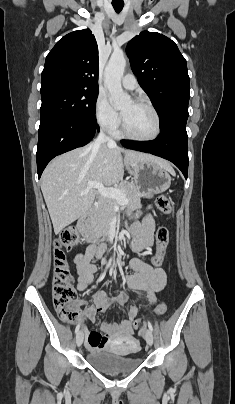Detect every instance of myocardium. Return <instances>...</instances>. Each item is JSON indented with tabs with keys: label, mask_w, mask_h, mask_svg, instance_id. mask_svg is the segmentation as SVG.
<instances>
[{
	"label": "myocardium",
	"mask_w": 235,
	"mask_h": 404,
	"mask_svg": "<svg viewBox=\"0 0 235 404\" xmlns=\"http://www.w3.org/2000/svg\"><path fill=\"white\" fill-rule=\"evenodd\" d=\"M133 102L138 104V105H141V106H144V107L148 108L152 112V114H153V116L155 118V130H154V132H153V134L151 136L137 137V136L131 134L127 130L125 122H124V119H123V117L121 115V133H122V135L124 137H126V138H128L130 140L136 141V142H151V141L156 140L159 137L160 133H161V119H160V115H159L158 111L156 110V108L150 102H148V101H146L144 99H140V98L139 99H134Z\"/></svg>",
	"instance_id": "obj_1"
}]
</instances>
